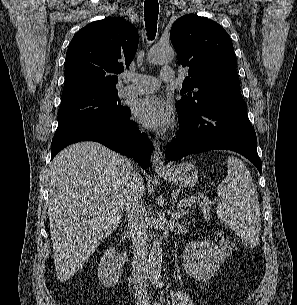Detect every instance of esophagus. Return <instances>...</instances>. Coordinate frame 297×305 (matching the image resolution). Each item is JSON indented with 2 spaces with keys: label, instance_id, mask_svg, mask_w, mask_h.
Wrapping results in <instances>:
<instances>
[{
  "label": "esophagus",
  "instance_id": "1",
  "mask_svg": "<svg viewBox=\"0 0 297 305\" xmlns=\"http://www.w3.org/2000/svg\"><path fill=\"white\" fill-rule=\"evenodd\" d=\"M152 165L155 171L164 170V156L162 148L158 143H155V149L152 155Z\"/></svg>",
  "mask_w": 297,
  "mask_h": 305
}]
</instances>
